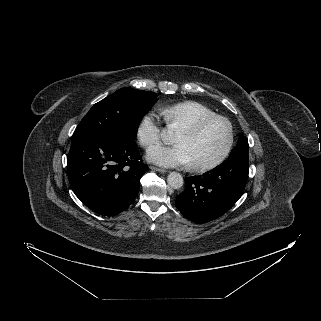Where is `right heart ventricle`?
<instances>
[{
	"mask_svg": "<svg viewBox=\"0 0 321 321\" xmlns=\"http://www.w3.org/2000/svg\"><path fill=\"white\" fill-rule=\"evenodd\" d=\"M165 122L168 126H178L183 128L195 121L215 115V112L205 104L187 100L179 102L161 109Z\"/></svg>",
	"mask_w": 321,
	"mask_h": 321,
	"instance_id": "obj_1",
	"label": "right heart ventricle"
}]
</instances>
